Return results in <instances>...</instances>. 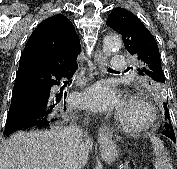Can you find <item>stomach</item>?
<instances>
[{"instance_id":"1","label":"stomach","mask_w":177,"mask_h":169,"mask_svg":"<svg viewBox=\"0 0 177 169\" xmlns=\"http://www.w3.org/2000/svg\"><path fill=\"white\" fill-rule=\"evenodd\" d=\"M100 151L103 160L108 164L115 162L119 156V149L112 142H102Z\"/></svg>"}]
</instances>
